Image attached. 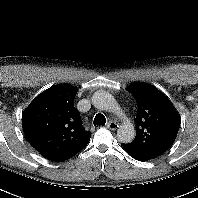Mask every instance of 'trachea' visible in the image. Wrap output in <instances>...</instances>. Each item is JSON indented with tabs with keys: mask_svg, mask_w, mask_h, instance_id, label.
Listing matches in <instances>:
<instances>
[{
	"mask_svg": "<svg viewBox=\"0 0 198 198\" xmlns=\"http://www.w3.org/2000/svg\"><path fill=\"white\" fill-rule=\"evenodd\" d=\"M105 123H106L105 116L101 113L96 114L94 121H93L94 126L105 125Z\"/></svg>",
	"mask_w": 198,
	"mask_h": 198,
	"instance_id": "obj_1",
	"label": "trachea"
}]
</instances>
